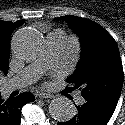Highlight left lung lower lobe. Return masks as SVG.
Instances as JSON below:
<instances>
[{"label": "left lung lower lobe", "instance_id": "0a47b994", "mask_svg": "<svg viewBox=\"0 0 125 125\" xmlns=\"http://www.w3.org/2000/svg\"><path fill=\"white\" fill-rule=\"evenodd\" d=\"M116 105V101H85L80 106L75 104L77 108L75 116L66 122H58V125H106Z\"/></svg>", "mask_w": 125, "mask_h": 125}]
</instances>
